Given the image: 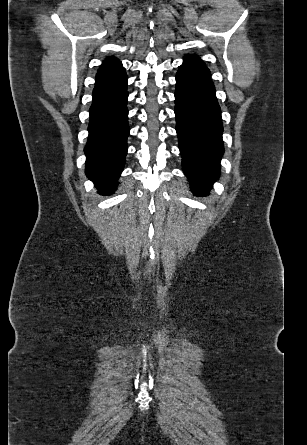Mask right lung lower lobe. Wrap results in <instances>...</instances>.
I'll return each instance as SVG.
<instances>
[{"instance_id":"1","label":"right lung lower lobe","mask_w":307,"mask_h":445,"mask_svg":"<svg viewBox=\"0 0 307 445\" xmlns=\"http://www.w3.org/2000/svg\"><path fill=\"white\" fill-rule=\"evenodd\" d=\"M127 98V75L121 63L98 71L85 154L86 175L103 195L115 191L127 154Z\"/></svg>"}]
</instances>
